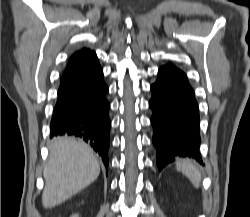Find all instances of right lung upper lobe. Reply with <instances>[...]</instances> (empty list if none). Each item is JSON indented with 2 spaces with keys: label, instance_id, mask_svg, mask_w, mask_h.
Listing matches in <instances>:
<instances>
[{
  "label": "right lung upper lobe",
  "instance_id": "cb5924a9",
  "mask_svg": "<svg viewBox=\"0 0 250 217\" xmlns=\"http://www.w3.org/2000/svg\"><path fill=\"white\" fill-rule=\"evenodd\" d=\"M93 55H95V53L90 51L89 49H82L78 52H75L70 58L65 72L80 65L81 63H83L85 60L92 57Z\"/></svg>",
  "mask_w": 250,
  "mask_h": 217
}]
</instances>
